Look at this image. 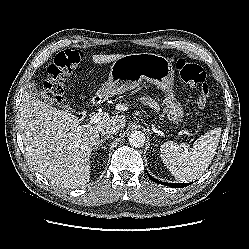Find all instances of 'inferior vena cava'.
I'll list each match as a JSON object with an SVG mask.
<instances>
[{"mask_svg": "<svg viewBox=\"0 0 249 249\" xmlns=\"http://www.w3.org/2000/svg\"><path fill=\"white\" fill-rule=\"evenodd\" d=\"M119 131H120V128L117 125H111V124L105 125L101 129L102 134L106 135V136L115 135V134L119 133Z\"/></svg>", "mask_w": 249, "mask_h": 249, "instance_id": "obj_1", "label": "inferior vena cava"}]
</instances>
